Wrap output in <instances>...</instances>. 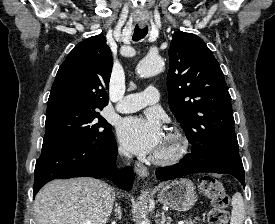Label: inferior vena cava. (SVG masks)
Wrapping results in <instances>:
<instances>
[{"instance_id": "inferior-vena-cava-1", "label": "inferior vena cava", "mask_w": 275, "mask_h": 224, "mask_svg": "<svg viewBox=\"0 0 275 224\" xmlns=\"http://www.w3.org/2000/svg\"><path fill=\"white\" fill-rule=\"evenodd\" d=\"M119 153H121L122 155H124V156H126L128 158H131V155L128 152H126V151H124L122 149L119 150Z\"/></svg>"}]
</instances>
